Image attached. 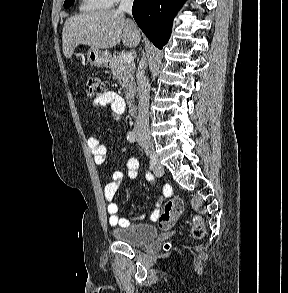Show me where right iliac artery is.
<instances>
[{
	"label": "right iliac artery",
	"mask_w": 288,
	"mask_h": 293,
	"mask_svg": "<svg viewBox=\"0 0 288 293\" xmlns=\"http://www.w3.org/2000/svg\"><path fill=\"white\" fill-rule=\"evenodd\" d=\"M127 139L129 142H135L136 141V135L134 132L130 131L128 134H127ZM160 163V160L159 159H156L155 162L153 163V166L154 167H157L158 164ZM152 164L150 166V168H153Z\"/></svg>",
	"instance_id": "1"
}]
</instances>
